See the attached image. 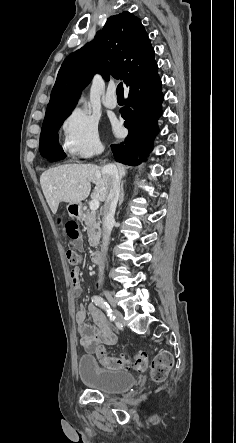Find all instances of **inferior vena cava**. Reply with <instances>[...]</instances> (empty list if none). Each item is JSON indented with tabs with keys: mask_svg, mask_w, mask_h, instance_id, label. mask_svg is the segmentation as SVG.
<instances>
[{
	"mask_svg": "<svg viewBox=\"0 0 236 443\" xmlns=\"http://www.w3.org/2000/svg\"><path fill=\"white\" fill-rule=\"evenodd\" d=\"M102 174L108 179V195L103 209V231L101 256L102 261L99 264V278L103 280L104 264L103 260L108 250L110 234L114 223V215L120 194V177L115 165L108 164L102 167Z\"/></svg>",
	"mask_w": 236,
	"mask_h": 443,
	"instance_id": "1",
	"label": "inferior vena cava"
}]
</instances>
